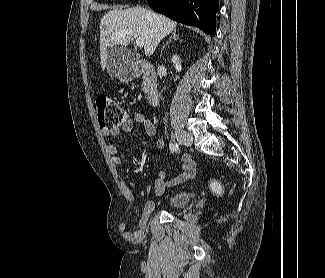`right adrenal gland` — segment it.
<instances>
[{"label":"right adrenal gland","mask_w":325,"mask_h":278,"mask_svg":"<svg viewBox=\"0 0 325 278\" xmlns=\"http://www.w3.org/2000/svg\"><path fill=\"white\" fill-rule=\"evenodd\" d=\"M172 39H174V40H178V39H179V38L177 37V35H176V29L172 31L170 38L168 39L167 43L162 47L161 50H163V49H164V48H165V47L170 43V41H171Z\"/></svg>","instance_id":"1"}]
</instances>
